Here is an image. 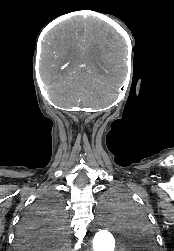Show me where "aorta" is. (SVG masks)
Masks as SVG:
<instances>
[{
  "label": "aorta",
  "mask_w": 174,
  "mask_h": 251,
  "mask_svg": "<svg viewBox=\"0 0 174 251\" xmlns=\"http://www.w3.org/2000/svg\"><path fill=\"white\" fill-rule=\"evenodd\" d=\"M119 226L116 219L110 216H103L99 220V228L93 239L94 251H114L115 242L111 234V230H114Z\"/></svg>",
  "instance_id": "1"
}]
</instances>
